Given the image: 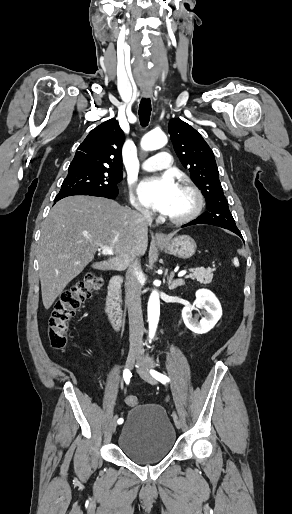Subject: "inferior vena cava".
<instances>
[{
    "mask_svg": "<svg viewBox=\"0 0 292 514\" xmlns=\"http://www.w3.org/2000/svg\"><path fill=\"white\" fill-rule=\"evenodd\" d=\"M143 218V224L147 230V226L152 224V216L149 210H140ZM141 274L140 260L136 258L129 266L126 274V304L129 316V342L130 352L134 354H143L142 338L144 334L143 316L141 310V284L138 276Z\"/></svg>",
    "mask_w": 292,
    "mask_h": 514,
    "instance_id": "602c4592",
    "label": "inferior vena cava"
}]
</instances>
